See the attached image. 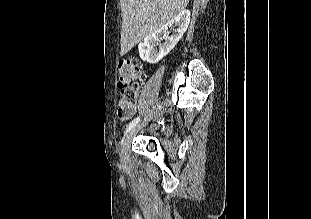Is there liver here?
I'll return each mask as SVG.
<instances>
[{
  "label": "liver",
  "mask_w": 311,
  "mask_h": 219,
  "mask_svg": "<svg viewBox=\"0 0 311 219\" xmlns=\"http://www.w3.org/2000/svg\"><path fill=\"white\" fill-rule=\"evenodd\" d=\"M121 56L184 11L189 0H120Z\"/></svg>",
  "instance_id": "6515ba94"
}]
</instances>
